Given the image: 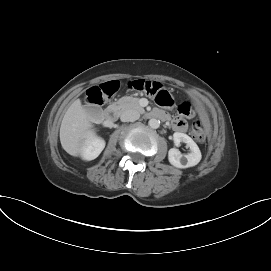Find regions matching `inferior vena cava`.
Returning <instances> with one entry per match:
<instances>
[{
  "label": "inferior vena cava",
  "mask_w": 271,
  "mask_h": 271,
  "mask_svg": "<svg viewBox=\"0 0 271 271\" xmlns=\"http://www.w3.org/2000/svg\"><path fill=\"white\" fill-rule=\"evenodd\" d=\"M139 117H140L139 112L132 109L126 110L122 112L120 115V119L122 122H133V121L138 120Z\"/></svg>",
  "instance_id": "1"
}]
</instances>
